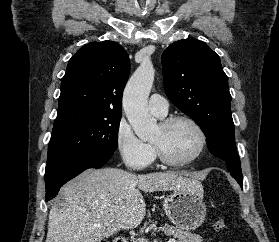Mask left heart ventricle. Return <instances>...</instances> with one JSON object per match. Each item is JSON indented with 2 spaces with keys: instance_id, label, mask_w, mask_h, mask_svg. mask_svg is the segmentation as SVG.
I'll list each match as a JSON object with an SVG mask.
<instances>
[{
  "instance_id": "b2bd125f",
  "label": "left heart ventricle",
  "mask_w": 279,
  "mask_h": 242,
  "mask_svg": "<svg viewBox=\"0 0 279 242\" xmlns=\"http://www.w3.org/2000/svg\"><path fill=\"white\" fill-rule=\"evenodd\" d=\"M151 141L158 143L168 157L175 160H184L196 151L199 137L189 123L180 121L166 130H162L158 126Z\"/></svg>"
}]
</instances>
